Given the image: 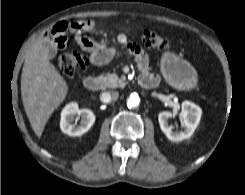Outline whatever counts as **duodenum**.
Masks as SVG:
<instances>
[{"label":"duodenum","mask_w":245,"mask_h":195,"mask_svg":"<svg viewBox=\"0 0 245 195\" xmlns=\"http://www.w3.org/2000/svg\"><path fill=\"white\" fill-rule=\"evenodd\" d=\"M138 81H139V84L143 88H146V89H153L159 83V79L156 76L148 74V73H142L139 76ZM84 86L86 89L90 91H97L101 88V81L96 76H87L84 79Z\"/></svg>","instance_id":"obj_1"}]
</instances>
